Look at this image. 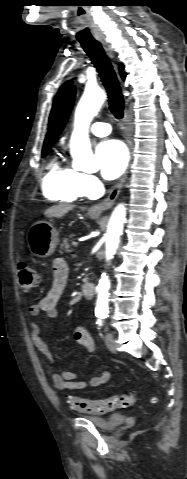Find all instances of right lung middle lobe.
Returning <instances> with one entry per match:
<instances>
[{
	"mask_svg": "<svg viewBox=\"0 0 187 479\" xmlns=\"http://www.w3.org/2000/svg\"><path fill=\"white\" fill-rule=\"evenodd\" d=\"M48 151H43L42 152V156H45L47 154Z\"/></svg>",
	"mask_w": 187,
	"mask_h": 479,
	"instance_id": "obj_1",
	"label": "right lung middle lobe"
}]
</instances>
